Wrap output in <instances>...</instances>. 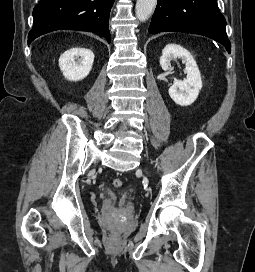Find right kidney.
<instances>
[{
	"label": "right kidney",
	"instance_id": "right-kidney-1",
	"mask_svg": "<svg viewBox=\"0 0 255 272\" xmlns=\"http://www.w3.org/2000/svg\"><path fill=\"white\" fill-rule=\"evenodd\" d=\"M94 54L91 50L74 47L65 51L59 58V67L66 79L80 81L88 76L92 69Z\"/></svg>",
	"mask_w": 255,
	"mask_h": 272
}]
</instances>
